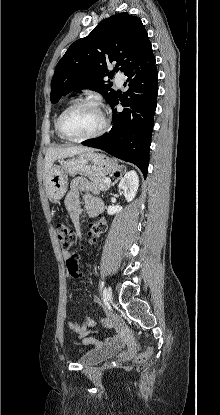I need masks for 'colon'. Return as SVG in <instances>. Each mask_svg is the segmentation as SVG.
<instances>
[{
	"mask_svg": "<svg viewBox=\"0 0 220 415\" xmlns=\"http://www.w3.org/2000/svg\"><path fill=\"white\" fill-rule=\"evenodd\" d=\"M56 232L59 242L63 249L67 251V268L70 275L74 278L79 277L78 262L80 259V251L76 247V236L69 225L59 223L56 226ZM149 353L141 356L139 361H144Z\"/></svg>",
	"mask_w": 220,
	"mask_h": 415,
	"instance_id": "colon-1",
	"label": "colon"
}]
</instances>
